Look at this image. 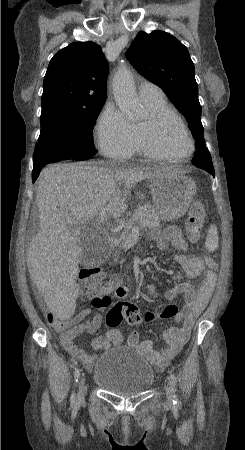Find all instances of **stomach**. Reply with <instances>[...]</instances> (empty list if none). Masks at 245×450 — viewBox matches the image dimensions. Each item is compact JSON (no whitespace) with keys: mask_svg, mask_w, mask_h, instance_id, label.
<instances>
[{"mask_svg":"<svg viewBox=\"0 0 245 450\" xmlns=\"http://www.w3.org/2000/svg\"><path fill=\"white\" fill-rule=\"evenodd\" d=\"M149 188L157 213L170 221L182 217L196 194L193 179L178 171H166L149 178Z\"/></svg>","mask_w":245,"mask_h":450,"instance_id":"obj_1","label":"stomach"}]
</instances>
